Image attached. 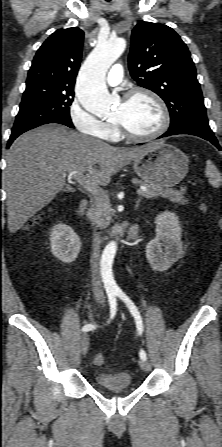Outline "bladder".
Here are the masks:
<instances>
[{
  "label": "bladder",
  "mask_w": 222,
  "mask_h": 447,
  "mask_svg": "<svg viewBox=\"0 0 222 447\" xmlns=\"http://www.w3.org/2000/svg\"><path fill=\"white\" fill-rule=\"evenodd\" d=\"M97 385L105 391L119 392L132 388V376L127 371L100 372L95 375Z\"/></svg>",
  "instance_id": "1"
}]
</instances>
